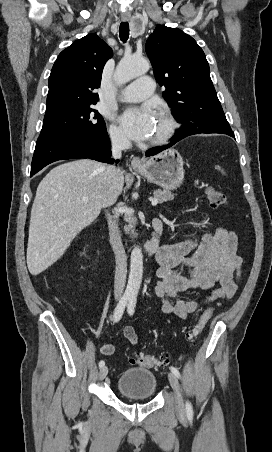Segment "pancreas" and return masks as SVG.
I'll use <instances>...</instances> for the list:
<instances>
[{"label": "pancreas", "mask_w": 272, "mask_h": 452, "mask_svg": "<svg viewBox=\"0 0 272 452\" xmlns=\"http://www.w3.org/2000/svg\"><path fill=\"white\" fill-rule=\"evenodd\" d=\"M153 196L158 200V203L160 204L174 199V194L166 190H155L153 192ZM124 220L128 223V225L124 227L125 232H130L133 237H136L137 233L135 232V225L137 219L135 217L127 216Z\"/></svg>", "instance_id": "pancreas-1"}]
</instances>
